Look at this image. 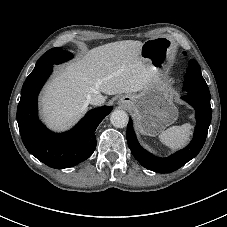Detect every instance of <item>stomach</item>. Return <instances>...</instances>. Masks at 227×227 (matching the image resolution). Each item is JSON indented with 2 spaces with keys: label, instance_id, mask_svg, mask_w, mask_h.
Listing matches in <instances>:
<instances>
[{
  "label": "stomach",
  "instance_id": "obj_1",
  "mask_svg": "<svg viewBox=\"0 0 227 227\" xmlns=\"http://www.w3.org/2000/svg\"><path fill=\"white\" fill-rule=\"evenodd\" d=\"M172 48L162 39L143 43L140 57L147 65L158 71L164 69L170 59ZM127 105L136 118L137 129L146 135L154 136L163 131L177 119L178 111L173 103V94L158 81L138 94H128Z\"/></svg>",
  "mask_w": 227,
  "mask_h": 227
}]
</instances>
